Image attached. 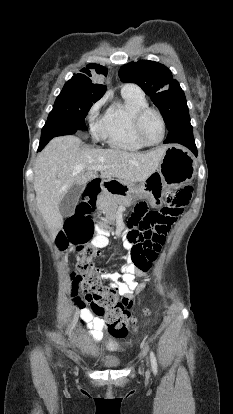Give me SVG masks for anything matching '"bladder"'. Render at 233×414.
Masks as SVG:
<instances>
[{
	"mask_svg": "<svg viewBox=\"0 0 233 414\" xmlns=\"http://www.w3.org/2000/svg\"><path fill=\"white\" fill-rule=\"evenodd\" d=\"M120 344L116 340H110L107 343V349L114 351L119 349ZM95 364L103 369H116L122 365V360L114 355H106L95 358Z\"/></svg>",
	"mask_w": 233,
	"mask_h": 414,
	"instance_id": "bladder-1",
	"label": "bladder"
}]
</instances>
